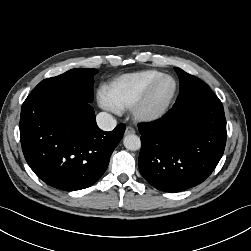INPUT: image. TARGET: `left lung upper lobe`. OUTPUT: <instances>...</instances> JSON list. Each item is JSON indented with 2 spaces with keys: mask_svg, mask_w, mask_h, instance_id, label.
<instances>
[{
  "mask_svg": "<svg viewBox=\"0 0 251 251\" xmlns=\"http://www.w3.org/2000/svg\"><path fill=\"white\" fill-rule=\"evenodd\" d=\"M174 69H175V71L178 74V77L180 79V92L179 93L187 91L188 89H190L191 87H193L195 85L205 84L199 78L186 73L185 71H183L180 68L175 67Z\"/></svg>",
  "mask_w": 251,
  "mask_h": 251,
  "instance_id": "1",
  "label": "left lung upper lobe"
}]
</instances>
